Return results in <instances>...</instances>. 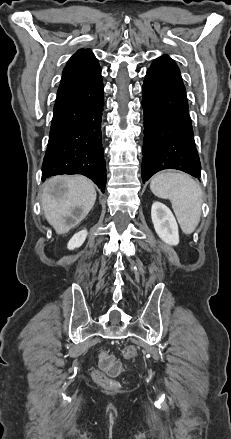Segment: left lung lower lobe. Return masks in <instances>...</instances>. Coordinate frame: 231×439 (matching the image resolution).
I'll return each mask as SVG.
<instances>
[{
  "label": "left lung lower lobe",
  "mask_w": 231,
  "mask_h": 439,
  "mask_svg": "<svg viewBox=\"0 0 231 439\" xmlns=\"http://www.w3.org/2000/svg\"><path fill=\"white\" fill-rule=\"evenodd\" d=\"M142 89L143 182L164 169L181 170L199 178L201 165L178 66L166 55L155 59Z\"/></svg>",
  "instance_id": "0a47b994"
}]
</instances>
